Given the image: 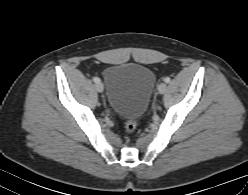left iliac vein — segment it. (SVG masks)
Here are the masks:
<instances>
[{"mask_svg":"<svg viewBox=\"0 0 248 195\" xmlns=\"http://www.w3.org/2000/svg\"><path fill=\"white\" fill-rule=\"evenodd\" d=\"M166 89H167V85L165 83H160L158 85V91L160 94L165 93Z\"/></svg>","mask_w":248,"mask_h":195,"instance_id":"4c4485c4","label":"left iliac vein"}]
</instances>
